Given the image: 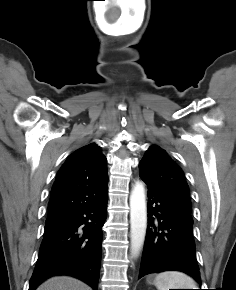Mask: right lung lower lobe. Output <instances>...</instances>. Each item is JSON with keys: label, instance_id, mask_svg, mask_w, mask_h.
<instances>
[{"label": "right lung lower lobe", "instance_id": "right-lung-lower-lobe-1", "mask_svg": "<svg viewBox=\"0 0 236 290\" xmlns=\"http://www.w3.org/2000/svg\"><path fill=\"white\" fill-rule=\"evenodd\" d=\"M106 208L107 193L99 202L45 228L29 290L54 275L76 277L97 290Z\"/></svg>", "mask_w": 236, "mask_h": 290}]
</instances>
